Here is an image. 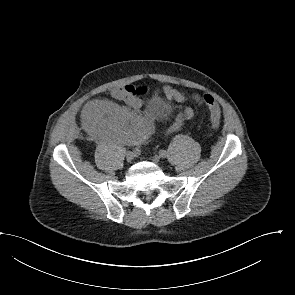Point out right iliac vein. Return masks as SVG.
I'll use <instances>...</instances> for the list:
<instances>
[{"instance_id": "right-iliac-vein-1", "label": "right iliac vein", "mask_w": 295, "mask_h": 295, "mask_svg": "<svg viewBox=\"0 0 295 295\" xmlns=\"http://www.w3.org/2000/svg\"><path fill=\"white\" fill-rule=\"evenodd\" d=\"M134 157H135V154L133 152L129 151L126 153V160L128 162H131L134 159Z\"/></svg>"}]
</instances>
